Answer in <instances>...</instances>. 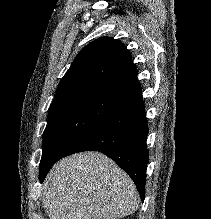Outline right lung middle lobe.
Masks as SVG:
<instances>
[{"label": "right lung middle lobe", "mask_w": 211, "mask_h": 219, "mask_svg": "<svg viewBox=\"0 0 211 219\" xmlns=\"http://www.w3.org/2000/svg\"><path fill=\"white\" fill-rule=\"evenodd\" d=\"M117 107L96 98H77L51 105L43 133L40 181L79 137Z\"/></svg>", "instance_id": "1"}]
</instances>
